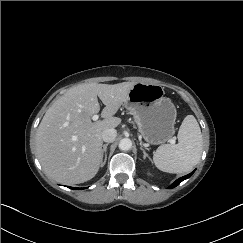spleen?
I'll list each match as a JSON object with an SVG mask.
<instances>
[{
    "mask_svg": "<svg viewBox=\"0 0 243 243\" xmlns=\"http://www.w3.org/2000/svg\"><path fill=\"white\" fill-rule=\"evenodd\" d=\"M178 144H163L153 155L156 167L169 173H188L202 154V134L193 115H187L178 131Z\"/></svg>",
    "mask_w": 243,
    "mask_h": 243,
    "instance_id": "1",
    "label": "spleen"
}]
</instances>
